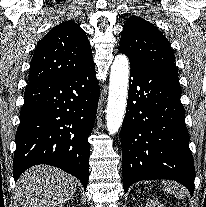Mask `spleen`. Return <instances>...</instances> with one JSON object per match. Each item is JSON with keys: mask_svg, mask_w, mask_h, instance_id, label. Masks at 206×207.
Segmentation results:
<instances>
[{"mask_svg": "<svg viewBox=\"0 0 206 207\" xmlns=\"http://www.w3.org/2000/svg\"><path fill=\"white\" fill-rule=\"evenodd\" d=\"M167 189L180 199L185 197V190L182 187H179L177 184L169 183L167 184Z\"/></svg>", "mask_w": 206, "mask_h": 207, "instance_id": "3e777b00", "label": "spleen"}]
</instances>
